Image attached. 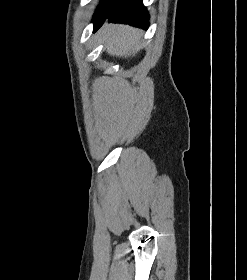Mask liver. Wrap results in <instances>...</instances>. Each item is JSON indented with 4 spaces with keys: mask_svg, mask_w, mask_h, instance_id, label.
I'll return each mask as SVG.
<instances>
[{
    "mask_svg": "<svg viewBox=\"0 0 247 280\" xmlns=\"http://www.w3.org/2000/svg\"><path fill=\"white\" fill-rule=\"evenodd\" d=\"M99 34L109 55L126 58L137 53L142 31L128 25L105 24Z\"/></svg>",
    "mask_w": 247,
    "mask_h": 280,
    "instance_id": "1",
    "label": "liver"
}]
</instances>
